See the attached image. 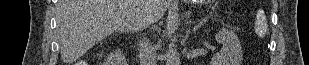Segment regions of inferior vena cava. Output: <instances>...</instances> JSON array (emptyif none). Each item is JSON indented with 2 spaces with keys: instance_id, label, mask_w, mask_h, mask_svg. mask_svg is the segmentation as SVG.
I'll use <instances>...</instances> for the list:
<instances>
[{
  "instance_id": "obj_1",
  "label": "inferior vena cava",
  "mask_w": 309,
  "mask_h": 65,
  "mask_svg": "<svg viewBox=\"0 0 309 65\" xmlns=\"http://www.w3.org/2000/svg\"><path fill=\"white\" fill-rule=\"evenodd\" d=\"M140 65H156V53L152 43L146 37L139 44Z\"/></svg>"
}]
</instances>
